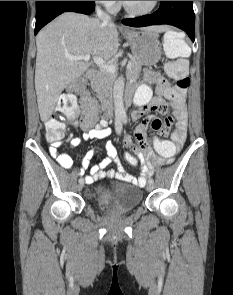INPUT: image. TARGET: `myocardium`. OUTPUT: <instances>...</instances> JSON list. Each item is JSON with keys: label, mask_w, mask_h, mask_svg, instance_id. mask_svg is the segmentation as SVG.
I'll list each match as a JSON object with an SVG mask.
<instances>
[{"label": "myocardium", "mask_w": 233, "mask_h": 295, "mask_svg": "<svg viewBox=\"0 0 233 295\" xmlns=\"http://www.w3.org/2000/svg\"><path fill=\"white\" fill-rule=\"evenodd\" d=\"M121 4H122L123 9H124L129 15H131V16H135V17H142V16H147V15L151 14L152 12H154L155 9H156V8L158 7V5H159V1H153L152 6H151L149 9L145 10V11H135V10L131 9V8L127 5L126 1H121Z\"/></svg>", "instance_id": "f54148a6"}]
</instances>
